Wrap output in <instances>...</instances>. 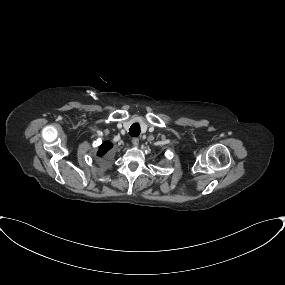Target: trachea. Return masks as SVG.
<instances>
[{
	"mask_svg": "<svg viewBox=\"0 0 285 285\" xmlns=\"http://www.w3.org/2000/svg\"><path fill=\"white\" fill-rule=\"evenodd\" d=\"M140 134V125L138 123H134L129 129V135L132 137H137Z\"/></svg>",
	"mask_w": 285,
	"mask_h": 285,
	"instance_id": "trachea-1",
	"label": "trachea"
}]
</instances>
